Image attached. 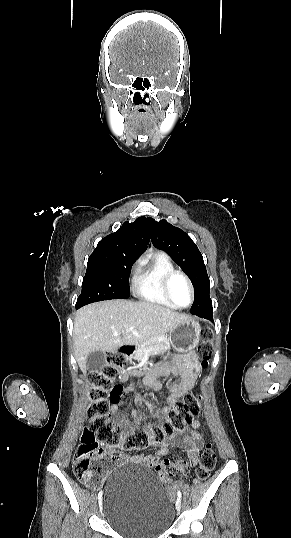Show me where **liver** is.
I'll use <instances>...</instances> for the list:
<instances>
[{
  "instance_id": "obj_1",
  "label": "liver",
  "mask_w": 291,
  "mask_h": 538,
  "mask_svg": "<svg viewBox=\"0 0 291 538\" xmlns=\"http://www.w3.org/2000/svg\"><path fill=\"white\" fill-rule=\"evenodd\" d=\"M189 318L144 301L109 300L84 306L77 311L74 320L77 363L86 373V358L90 353L114 352L124 345H139L164 335Z\"/></svg>"
}]
</instances>
